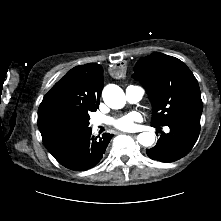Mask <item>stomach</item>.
<instances>
[{
    "label": "stomach",
    "instance_id": "obj_1",
    "mask_svg": "<svg viewBox=\"0 0 221 221\" xmlns=\"http://www.w3.org/2000/svg\"><path fill=\"white\" fill-rule=\"evenodd\" d=\"M130 67L126 61L120 60L109 66L108 72L112 78L119 79L129 73Z\"/></svg>",
    "mask_w": 221,
    "mask_h": 221
}]
</instances>
